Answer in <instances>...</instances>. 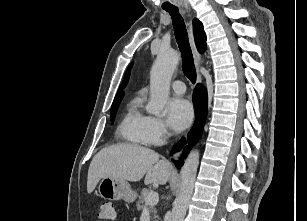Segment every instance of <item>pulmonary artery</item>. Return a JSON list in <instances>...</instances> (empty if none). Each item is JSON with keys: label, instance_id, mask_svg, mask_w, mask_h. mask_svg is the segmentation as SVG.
<instances>
[{"label": "pulmonary artery", "instance_id": "pulmonary-artery-1", "mask_svg": "<svg viewBox=\"0 0 307 221\" xmlns=\"http://www.w3.org/2000/svg\"><path fill=\"white\" fill-rule=\"evenodd\" d=\"M171 88L173 89V91L176 93V94H183L186 90L185 88V85L182 81H174L172 84H171Z\"/></svg>", "mask_w": 307, "mask_h": 221}]
</instances>
